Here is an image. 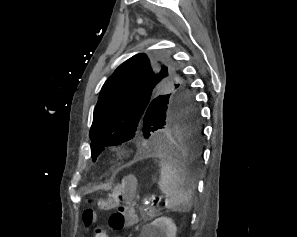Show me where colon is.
I'll return each mask as SVG.
<instances>
[{
  "label": "colon",
  "mask_w": 297,
  "mask_h": 237,
  "mask_svg": "<svg viewBox=\"0 0 297 237\" xmlns=\"http://www.w3.org/2000/svg\"><path fill=\"white\" fill-rule=\"evenodd\" d=\"M134 179L129 178L111 189L105 197L96 200V205L102 210H113L109 218V226L120 230L136 223L137 217L133 207L129 204L133 194ZM95 220V213L88 208L83 213V223L90 228Z\"/></svg>",
  "instance_id": "5ec220e1"
}]
</instances>
